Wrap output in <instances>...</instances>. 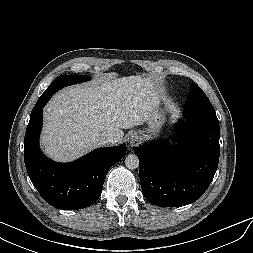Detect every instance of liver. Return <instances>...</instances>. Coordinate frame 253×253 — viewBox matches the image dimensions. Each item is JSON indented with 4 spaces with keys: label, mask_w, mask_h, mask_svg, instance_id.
<instances>
[{
    "label": "liver",
    "mask_w": 253,
    "mask_h": 253,
    "mask_svg": "<svg viewBox=\"0 0 253 253\" xmlns=\"http://www.w3.org/2000/svg\"><path fill=\"white\" fill-rule=\"evenodd\" d=\"M158 104L154 83L140 76L66 88L44 108L42 147L56 161H72L104 145L103 132L115 137L113 144L121 142L122 129L148 123Z\"/></svg>",
    "instance_id": "1"
}]
</instances>
